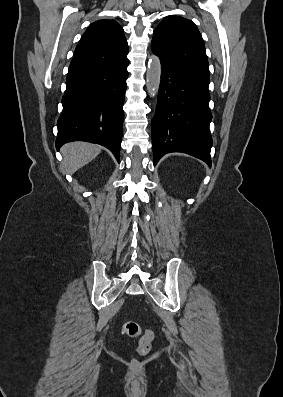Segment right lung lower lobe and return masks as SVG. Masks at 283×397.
<instances>
[{
    "label": "right lung lower lobe",
    "mask_w": 283,
    "mask_h": 397,
    "mask_svg": "<svg viewBox=\"0 0 283 397\" xmlns=\"http://www.w3.org/2000/svg\"><path fill=\"white\" fill-rule=\"evenodd\" d=\"M129 61L100 67L66 79L56 148L71 141L107 147L119 162Z\"/></svg>",
    "instance_id": "right-lung-lower-lobe-1"
}]
</instances>
